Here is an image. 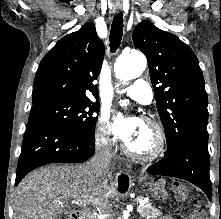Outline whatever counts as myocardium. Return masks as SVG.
<instances>
[{
    "mask_svg": "<svg viewBox=\"0 0 221 219\" xmlns=\"http://www.w3.org/2000/svg\"><path fill=\"white\" fill-rule=\"evenodd\" d=\"M143 124L154 133L155 142L153 148L147 153H138L133 151L124 141L122 150L130 158L144 162L154 161L161 157L166 150V134L163 127L154 120L144 119Z\"/></svg>",
    "mask_w": 221,
    "mask_h": 219,
    "instance_id": "obj_1",
    "label": "myocardium"
}]
</instances>
